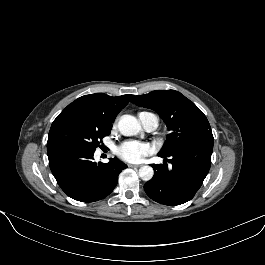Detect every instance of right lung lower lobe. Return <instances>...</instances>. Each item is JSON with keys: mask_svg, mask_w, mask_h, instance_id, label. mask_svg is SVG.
<instances>
[{"mask_svg": "<svg viewBox=\"0 0 265 265\" xmlns=\"http://www.w3.org/2000/svg\"><path fill=\"white\" fill-rule=\"evenodd\" d=\"M47 155L58 185L69 197L81 202H94L109 195L118 175L127 168L116 158L97 164L93 162L94 151L70 144L49 146Z\"/></svg>", "mask_w": 265, "mask_h": 265, "instance_id": "1", "label": "right lung lower lobe"}]
</instances>
